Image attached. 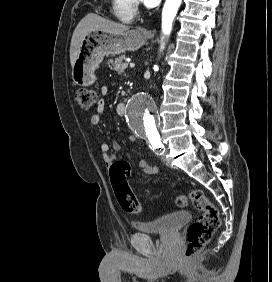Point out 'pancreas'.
Returning a JSON list of instances; mask_svg holds the SVG:
<instances>
[{"label": "pancreas", "mask_w": 272, "mask_h": 282, "mask_svg": "<svg viewBox=\"0 0 272 282\" xmlns=\"http://www.w3.org/2000/svg\"><path fill=\"white\" fill-rule=\"evenodd\" d=\"M126 59L127 57L125 55H121L115 60L113 59L108 60L107 64L111 69L117 71L118 73H122L128 67V63L126 62Z\"/></svg>", "instance_id": "obj_1"}]
</instances>
